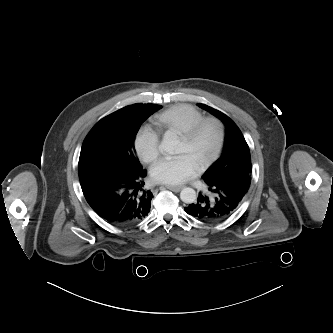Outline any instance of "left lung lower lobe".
Wrapping results in <instances>:
<instances>
[{
    "mask_svg": "<svg viewBox=\"0 0 333 333\" xmlns=\"http://www.w3.org/2000/svg\"><path fill=\"white\" fill-rule=\"evenodd\" d=\"M202 179L210 193L209 191L208 194L199 193L197 201L185 207V211L197 220L206 222H219L230 216L250 187L249 180L238 178L214 181L202 176Z\"/></svg>",
    "mask_w": 333,
    "mask_h": 333,
    "instance_id": "0a47b994",
    "label": "left lung lower lobe"
}]
</instances>
